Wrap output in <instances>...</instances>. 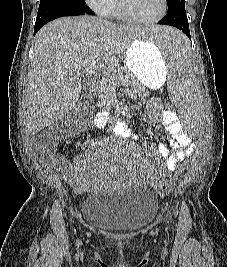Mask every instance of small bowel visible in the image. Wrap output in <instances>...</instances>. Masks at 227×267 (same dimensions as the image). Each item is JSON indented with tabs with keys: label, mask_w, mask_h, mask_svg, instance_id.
I'll return each mask as SVG.
<instances>
[{
	"label": "small bowel",
	"mask_w": 227,
	"mask_h": 267,
	"mask_svg": "<svg viewBox=\"0 0 227 267\" xmlns=\"http://www.w3.org/2000/svg\"><path fill=\"white\" fill-rule=\"evenodd\" d=\"M148 119L153 124H161L169 135L168 144L155 146L156 155L151 157L161 169H178L180 161L187 158L194 150L196 144L193 138L185 137L182 126L178 121L176 113H167L162 108L161 102L156 98L148 100ZM108 121V114L99 111L94 118V126L103 129ZM114 133L119 136H132L127 123L118 119L113 125ZM137 138V137H136ZM161 160H164L162 162ZM59 170L63 176L76 184L80 189L86 187L91 174L85 163L72 164L65 160L59 161Z\"/></svg>",
	"instance_id": "c3829d8e"
}]
</instances>
